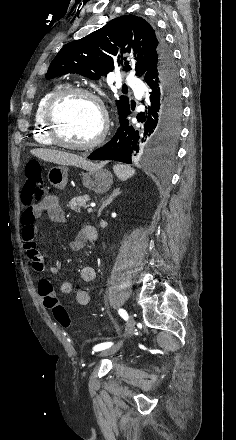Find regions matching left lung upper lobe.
<instances>
[{
  "label": "left lung upper lobe",
  "instance_id": "left-lung-upper-lobe-1",
  "mask_svg": "<svg viewBox=\"0 0 236 440\" xmlns=\"http://www.w3.org/2000/svg\"><path fill=\"white\" fill-rule=\"evenodd\" d=\"M172 56L164 38L145 19L126 15L109 21L101 29L66 44L51 62L46 78L77 73L98 80L115 68L131 70L143 77L149 64ZM119 116L129 110V99L116 100Z\"/></svg>",
  "mask_w": 236,
  "mask_h": 440
}]
</instances>
